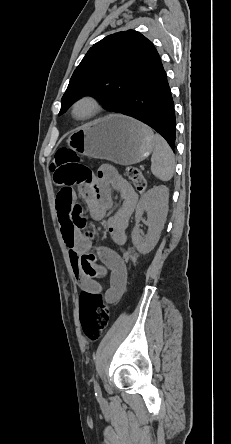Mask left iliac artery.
<instances>
[{
	"mask_svg": "<svg viewBox=\"0 0 231 444\" xmlns=\"http://www.w3.org/2000/svg\"><path fill=\"white\" fill-rule=\"evenodd\" d=\"M94 390H95V394H96V395H101L100 387H99V385H98L97 380H95V379H94Z\"/></svg>",
	"mask_w": 231,
	"mask_h": 444,
	"instance_id": "obj_1",
	"label": "left iliac artery"
}]
</instances>
